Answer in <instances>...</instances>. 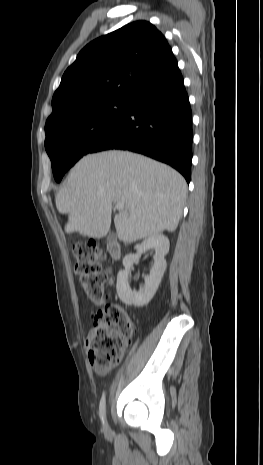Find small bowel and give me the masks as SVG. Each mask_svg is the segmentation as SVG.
<instances>
[{
	"label": "small bowel",
	"instance_id": "obj_1",
	"mask_svg": "<svg viewBox=\"0 0 263 465\" xmlns=\"http://www.w3.org/2000/svg\"><path fill=\"white\" fill-rule=\"evenodd\" d=\"M102 302H103V299H102V298L96 299V300H95V303H96L97 305L101 304Z\"/></svg>",
	"mask_w": 263,
	"mask_h": 465
}]
</instances>
